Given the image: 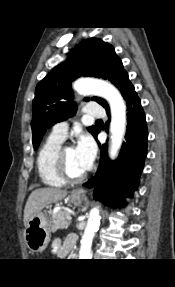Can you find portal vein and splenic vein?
<instances>
[{
  "label": "portal vein and splenic vein",
  "mask_w": 175,
  "mask_h": 287,
  "mask_svg": "<svg viewBox=\"0 0 175 287\" xmlns=\"http://www.w3.org/2000/svg\"><path fill=\"white\" fill-rule=\"evenodd\" d=\"M66 218H67L68 220H72V217H71L70 214H69Z\"/></svg>",
  "instance_id": "portal-vein-and-splenic-vein-1"
}]
</instances>
